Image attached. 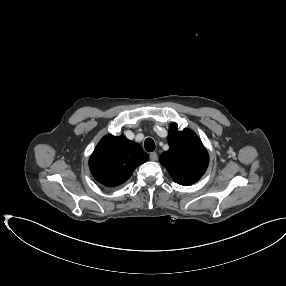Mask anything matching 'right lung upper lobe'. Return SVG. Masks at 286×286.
Instances as JSON below:
<instances>
[{"label":"right lung upper lobe","instance_id":"cb5924a9","mask_svg":"<svg viewBox=\"0 0 286 286\" xmlns=\"http://www.w3.org/2000/svg\"><path fill=\"white\" fill-rule=\"evenodd\" d=\"M149 159L140 145L120 136H104L89 160L94 178L107 187L126 182L134 169Z\"/></svg>","mask_w":286,"mask_h":286}]
</instances>
